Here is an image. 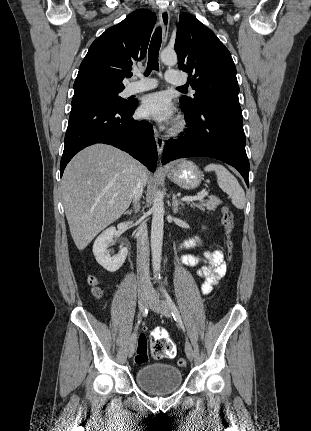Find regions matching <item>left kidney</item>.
<instances>
[{
  "label": "left kidney",
  "mask_w": 311,
  "mask_h": 431,
  "mask_svg": "<svg viewBox=\"0 0 311 431\" xmlns=\"http://www.w3.org/2000/svg\"><path fill=\"white\" fill-rule=\"evenodd\" d=\"M203 229H206L205 225H203Z\"/></svg>",
  "instance_id": "obj_1"
}]
</instances>
